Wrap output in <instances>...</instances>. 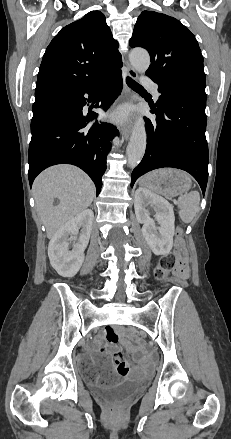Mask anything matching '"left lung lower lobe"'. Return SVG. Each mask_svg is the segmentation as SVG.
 Wrapping results in <instances>:
<instances>
[{"mask_svg": "<svg viewBox=\"0 0 231 439\" xmlns=\"http://www.w3.org/2000/svg\"><path fill=\"white\" fill-rule=\"evenodd\" d=\"M158 86L161 95L156 106H150L157 117L155 121L146 118V152L132 172L131 187L151 170L173 167L190 173L204 195L209 162L205 88L189 84Z\"/></svg>", "mask_w": 231, "mask_h": 439, "instance_id": "0a47b994", "label": "left lung lower lobe"}]
</instances>
